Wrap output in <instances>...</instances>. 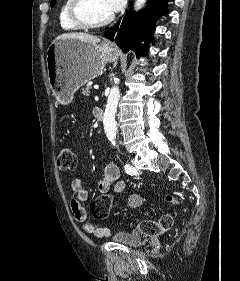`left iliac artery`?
Instances as JSON below:
<instances>
[{"label": "left iliac artery", "instance_id": "44dca946", "mask_svg": "<svg viewBox=\"0 0 240 281\" xmlns=\"http://www.w3.org/2000/svg\"><path fill=\"white\" fill-rule=\"evenodd\" d=\"M124 169H125L126 173L129 174V175H135L136 174V169L129 164H125Z\"/></svg>", "mask_w": 240, "mask_h": 281}]
</instances>
